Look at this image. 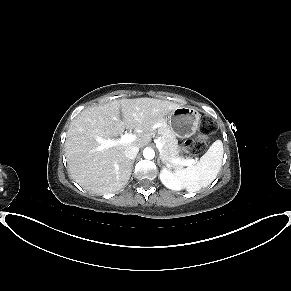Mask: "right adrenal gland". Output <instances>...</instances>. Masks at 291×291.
<instances>
[{"label":"right adrenal gland","instance_id":"2a0ac1e0","mask_svg":"<svg viewBox=\"0 0 291 291\" xmlns=\"http://www.w3.org/2000/svg\"><path fill=\"white\" fill-rule=\"evenodd\" d=\"M133 164H134V160L131 161V166H132V168H133Z\"/></svg>","mask_w":291,"mask_h":291}]
</instances>
